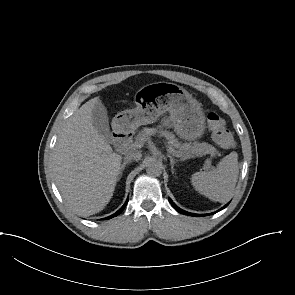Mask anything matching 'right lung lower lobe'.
<instances>
[{
    "label": "right lung lower lobe",
    "instance_id": "1",
    "mask_svg": "<svg viewBox=\"0 0 295 295\" xmlns=\"http://www.w3.org/2000/svg\"><path fill=\"white\" fill-rule=\"evenodd\" d=\"M126 204H127V201L115 214H113V215H111V216H109V217H107L105 219H110V218H113L114 216H117L118 214H120L123 211V209L125 208Z\"/></svg>",
    "mask_w": 295,
    "mask_h": 295
}]
</instances>
